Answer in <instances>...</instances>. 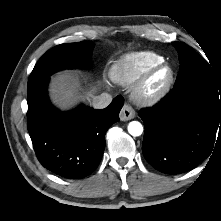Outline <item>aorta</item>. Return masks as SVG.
Listing matches in <instances>:
<instances>
[{
	"instance_id": "obj_1",
	"label": "aorta",
	"mask_w": 221,
	"mask_h": 221,
	"mask_svg": "<svg viewBox=\"0 0 221 221\" xmlns=\"http://www.w3.org/2000/svg\"><path fill=\"white\" fill-rule=\"evenodd\" d=\"M128 132L134 137L140 136L143 133V126L138 121H132L128 125Z\"/></svg>"
}]
</instances>
